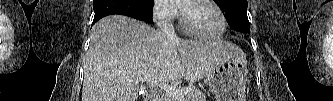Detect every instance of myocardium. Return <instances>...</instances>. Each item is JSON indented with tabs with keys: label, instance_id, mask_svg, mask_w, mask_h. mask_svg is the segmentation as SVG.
Wrapping results in <instances>:
<instances>
[{
	"label": "myocardium",
	"instance_id": "obj_1",
	"mask_svg": "<svg viewBox=\"0 0 333 101\" xmlns=\"http://www.w3.org/2000/svg\"><path fill=\"white\" fill-rule=\"evenodd\" d=\"M207 3L209 5H211L218 13L220 20H221V28L217 33L214 34H204L201 33L199 31H196L195 29H193L189 23L188 17L186 15V11H185V3H189V4H195V3ZM180 14H181V24L183 29L190 35L195 36V37H199V38H205V39H216L221 37L226 29H227V20L225 17L224 12L222 11V9L214 2L211 0H192V1H182L180 4Z\"/></svg>",
	"mask_w": 333,
	"mask_h": 101
}]
</instances>
